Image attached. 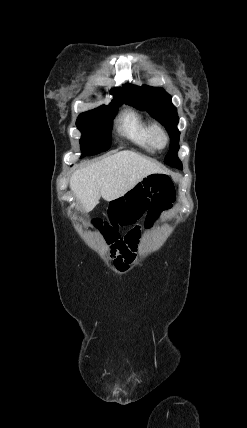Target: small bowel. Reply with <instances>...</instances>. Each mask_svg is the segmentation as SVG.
<instances>
[{
    "instance_id": "1",
    "label": "small bowel",
    "mask_w": 247,
    "mask_h": 428,
    "mask_svg": "<svg viewBox=\"0 0 247 428\" xmlns=\"http://www.w3.org/2000/svg\"><path fill=\"white\" fill-rule=\"evenodd\" d=\"M134 251L128 254H118L114 257V263L119 270L124 271L129 267L134 260Z\"/></svg>"
}]
</instances>
